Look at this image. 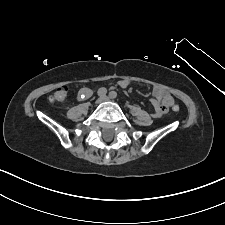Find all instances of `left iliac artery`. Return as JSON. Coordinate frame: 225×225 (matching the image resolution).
Masks as SVG:
<instances>
[{
    "label": "left iliac artery",
    "instance_id": "obj_1",
    "mask_svg": "<svg viewBox=\"0 0 225 225\" xmlns=\"http://www.w3.org/2000/svg\"><path fill=\"white\" fill-rule=\"evenodd\" d=\"M110 98L115 99L117 97V93L115 91H111L109 93Z\"/></svg>",
    "mask_w": 225,
    "mask_h": 225
}]
</instances>
